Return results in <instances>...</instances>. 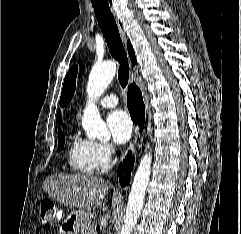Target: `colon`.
<instances>
[{
	"mask_svg": "<svg viewBox=\"0 0 241 234\" xmlns=\"http://www.w3.org/2000/svg\"><path fill=\"white\" fill-rule=\"evenodd\" d=\"M38 220L39 223L45 227L54 226L57 224L59 215L56 206L52 201L46 200L42 202Z\"/></svg>",
	"mask_w": 241,
	"mask_h": 234,
	"instance_id": "5ec220e1",
	"label": "colon"
}]
</instances>
